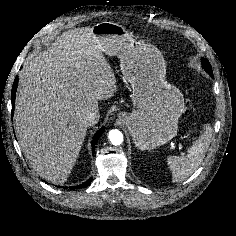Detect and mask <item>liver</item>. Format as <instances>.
Masks as SVG:
<instances>
[{
    "mask_svg": "<svg viewBox=\"0 0 236 236\" xmlns=\"http://www.w3.org/2000/svg\"><path fill=\"white\" fill-rule=\"evenodd\" d=\"M116 78L91 27L71 29L25 62L14 121L20 147L43 179L64 183L79 156L83 115L111 98Z\"/></svg>",
    "mask_w": 236,
    "mask_h": 236,
    "instance_id": "1",
    "label": "liver"
}]
</instances>
